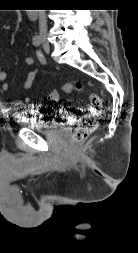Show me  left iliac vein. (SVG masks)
<instances>
[{"label":"left iliac vein","mask_w":138,"mask_h":253,"mask_svg":"<svg viewBox=\"0 0 138 253\" xmlns=\"http://www.w3.org/2000/svg\"><path fill=\"white\" fill-rule=\"evenodd\" d=\"M44 51H45L46 53H49V52H50V47H49V44H48L47 42L44 44Z\"/></svg>","instance_id":"obj_1"}]
</instances>
